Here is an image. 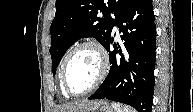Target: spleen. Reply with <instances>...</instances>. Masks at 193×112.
<instances>
[{"instance_id":"1","label":"spleen","mask_w":193,"mask_h":112,"mask_svg":"<svg viewBox=\"0 0 193 112\" xmlns=\"http://www.w3.org/2000/svg\"><path fill=\"white\" fill-rule=\"evenodd\" d=\"M111 105L116 110V112H135L133 109H131L127 106L122 107L118 103H112Z\"/></svg>"}]
</instances>
